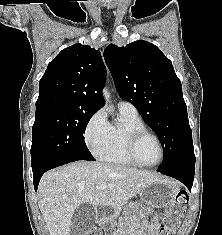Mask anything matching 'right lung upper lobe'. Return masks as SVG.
Here are the masks:
<instances>
[{
  "label": "right lung upper lobe",
  "instance_id": "right-lung-upper-lobe-1",
  "mask_svg": "<svg viewBox=\"0 0 222 235\" xmlns=\"http://www.w3.org/2000/svg\"><path fill=\"white\" fill-rule=\"evenodd\" d=\"M105 78L100 51L79 43L65 48L40 79L36 112L54 106L96 112L104 105L101 90Z\"/></svg>",
  "mask_w": 222,
  "mask_h": 235
}]
</instances>
